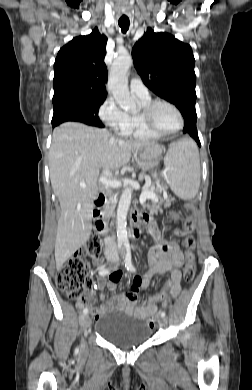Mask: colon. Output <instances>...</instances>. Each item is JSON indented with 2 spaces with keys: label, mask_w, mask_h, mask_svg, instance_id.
<instances>
[{
  "label": "colon",
  "mask_w": 252,
  "mask_h": 390,
  "mask_svg": "<svg viewBox=\"0 0 252 390\" xmlns=\"http://www.w3.org/2000/svg\"><path fill=\"white\" fill-rule=\"evenodd\" d=\"M171 217L178 218L177 214L172 212ZM195 227V221L192 217H187L183 224V247L186 254V265L184 267V280L191 282L196 273V263L193 250L195 249V239L192 232ZM102 252L101 237L99 234H92L89 239L76 251L73 258L60 266L56 273V283L58 287L69 297L85 301L84 292L91 285L89 276L88 258H97ZM162 297L152 296L150 299L155 301ZM92 316H97L98 311L91 309ZM149 324L154 323L153 316L148 318Z\"/></svg>",
  "instance_id": "colon-1"
}]
</instances>
